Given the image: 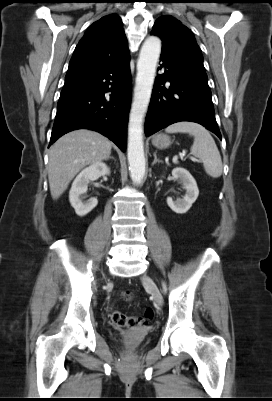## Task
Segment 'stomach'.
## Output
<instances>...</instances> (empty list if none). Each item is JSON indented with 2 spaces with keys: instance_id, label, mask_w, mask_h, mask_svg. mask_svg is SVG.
Listing matches in <instances>:
<instances>
[{
  "instance_id": "obj_1",
  "label": "stomach",
  "mask_w": 272,
  "mask_h": 401,
  "mask_svg": "<svg viewBox=\"0 0 272 401\" xmlns=\"http://www.w3.org/2000/svg\"><path fill=\"white\" fill-rule=\"evenodd\" d=\"M152 144L158 149H166L171 145V138L164 133H159L152 138Z\"/></svg>"
}]
</instances>
